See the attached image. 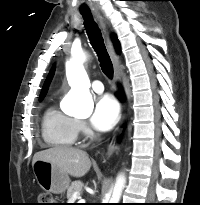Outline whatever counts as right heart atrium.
<instances>
[{"label":"right heart atrium","mask_w":200,"mask_h":205,"mask_svg":"<svg viewBox=\"0 0 200 205\" xmlns=\"http://www.w3.org/2000/svg\"><path fill=\"white\" fill-rule=\"evenodd\" d=\"M77 129H78V132H80L86 136L90 135V133H91L88 126L83 121H77Z\"/></svg>","instance_id":"right-heart-atrium-1"}]
</instances>
